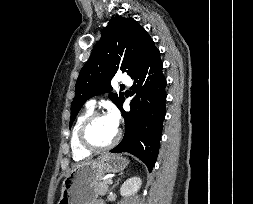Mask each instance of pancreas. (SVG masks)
<instances>
[{"label":"pancreas","instance_id":"pancreas-1","mask_svg":"<svg viewBox=\"0 0 253 204\" xmlns=\"http://www.w3.org/2000/svg\"><path fill=\"white\" fill-rule=\"evenodd\" d=\"M95 191L100 196H103V195L107 194L108 191H109V184L107 183V180L103 181V182H99L95 186Z\"/></svg>","mask_w":253,"mask_h":204}]
</instances>
